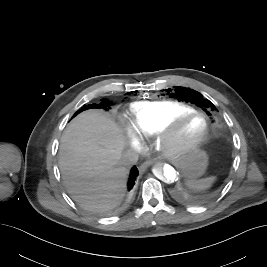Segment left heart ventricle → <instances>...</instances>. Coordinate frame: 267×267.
Here are the masks:
<instances>
[{
    "label": "left heart ventricle",
    "mask_w": 267,
    "mask_h": 267,
    "mask_svg": "<svg viewBox=\"0 0 267 267\" xmlns=\"http://www.w3.org/2000/svg\"><path fill=\"white\" fill-rule=\"evenodd\" d=\"M204 121L201 117H192L179 126L176 136L179 140H191L203 130Z\"/></svg>",
    "instance_id": "b2bd125f"
}]
</instances>
